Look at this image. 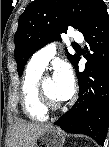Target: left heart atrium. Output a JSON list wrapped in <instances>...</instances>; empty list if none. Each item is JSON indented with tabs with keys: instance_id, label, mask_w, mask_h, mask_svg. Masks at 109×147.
<instances>
[{
	"instance_id": "1",
	"label": "left heart atrium",
	"mask_w": 109,
	"mask_h": 147,
	"mask_svg": "<svg viewBox=\"0 0 109 147\" xmlns=\"http://www.w3.org/2000/svg\"><path fill=\"white\" fill-rule=\"evenodd\" d=\"M54 82L56 94L60 100L69 99L75 90V79L71 67L67 63H60L55 68Z\"/></svg>"
}]
</instances>
